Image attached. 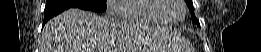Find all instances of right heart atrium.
Listing matches in <instances>:
<instances>
[{
  "mask_svg": "<svg viewBox=\"0 0 261 52\" xmlns=\"http://www.w3.org/2000/svg\"><path fill=\"white\" fill-rule=\"evenodd\" d=\"M122 3V0H109L107 1V7H108V13L109 15H114L115 13L118 15V13L115 10V5ZM113 8V10H112ZM119 16V15H118Z\"/></svg>",
  "mask_w": 261,
  "mask_h": 52,
  "instance_id": "obj_1",
  "label": "right heart atrium"
}]
</instances>
